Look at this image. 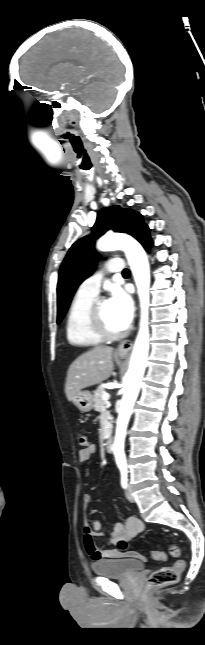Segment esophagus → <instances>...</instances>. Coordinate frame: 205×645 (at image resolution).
<instances>
[{
    "mask_svg": "<svg viewBox=\"0 0 205 645\" xmlns=\"http://www.w3.org/2000/svg\"><path fill=\"white\" fill-rule=\"evenodd\" d=\"M131 348H132L131 341L130 340H124L118 345L116 352L118 354H120V355H126V354L129 353Z\"/></svg>",
    "mask_w": 205,
    "mask_h": 645,
    "instance_id": "esophagus-1",
    "label": "esophagus"
}]
</instances>
